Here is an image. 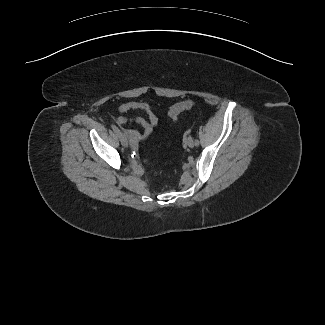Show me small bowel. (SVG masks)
<instances>
[{
    "mask_svg": "<svg viewBox=\"0 0 325 325\" xmlns=\"http://www.w3.org/2000/svg\"><path fill=\"white\" fill-rule=\"evenodd\" d=\"M130 110H141L145 112L148 117V119L142 117H116V121L120 124L136 123L142 126L143 131L141 132L134 129H124V132L129 137L133 147H136L140 141L152 133L153 129L158 123V118L147 102L129 101L118 106L119 113Z\"/></svg>",
    "mask_w": 325,
    "mask_h": 325,
    "instance_id": "c3829d8e",
    "label": "small bowel"
}]
</instances>
